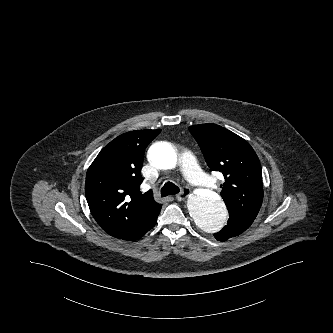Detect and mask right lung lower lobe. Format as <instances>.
<instances>
[{"instance_id": "right-lung-lower-lobe-1", "label": "right lung lower lobe", "mask_w": 333, "mask_h": 333, "mask_svg": "<svg viewBox=\"0 0 333 333\" xmlns=\"http://www.w3.org/2000/svg\"><path fill=\"white\" fill-rule=\"evenodd\" d=\"M161 208L156 209L153 211V213L142 223L141 229L134 235L131 239H128L130 241L137 240L141 238L146 232H148L150 229L154 227V225L157 222V217L159 215Z\"/></svg>"}]
</instances>
